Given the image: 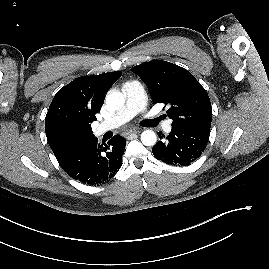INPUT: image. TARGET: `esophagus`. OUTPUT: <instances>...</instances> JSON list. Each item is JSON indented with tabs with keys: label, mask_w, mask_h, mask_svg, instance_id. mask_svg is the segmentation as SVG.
<instances>
[{
	"label": "esophagus",
	"mask_w": 269,
	"mask_h": 269,
	"mask_svg": "<svg viewBox=\"0 0 269 269\" xmlns=\"http://www.w3.org/2000/svg\"><path fill=\"white\" fill-rule=\"evenodd\" d=\"M137 133H139V130H131V131H128L127 133H125V136L129 137L131 135H136Z\"/></svg>",
	"instance_id": "obj_1"
}]
</instances>
